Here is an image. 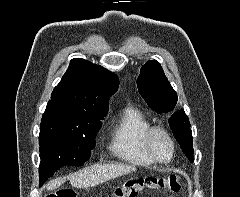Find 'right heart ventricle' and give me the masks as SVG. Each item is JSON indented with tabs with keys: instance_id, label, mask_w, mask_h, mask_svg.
Returning a JSON list of instances; mask_svg holds the SVG:
<instances>
[{
	"instance_id": "1",
	"label": "right heart ventricle",
	"mask_w": 240,
	"mask_h": 197,
	"mask_svg": "<svg viewBox=\"0 0 240 197\" xmlns=\"http://www.w3.org/2000/svg\"><path fill=\"white\" fill-rule=\"evenodd\" d=\"M150 127L151 123L142 111L135 107L123 109L110 128L109 151L133 165H154L143 147V135Z\"/></svg>"
}]
</instances>
